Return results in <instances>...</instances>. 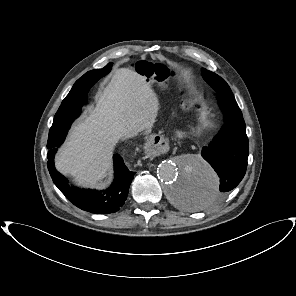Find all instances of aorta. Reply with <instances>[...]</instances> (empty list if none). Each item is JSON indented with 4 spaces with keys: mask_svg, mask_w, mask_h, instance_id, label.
I'll return each mask as SVG.
<instances>
[{
    "mask_svg": "<svg viewBox=\"0 0 296 296\" xmlns=\"http://www.w3.org/2000/svg\"><path fill=\"white\" fill-rule=\"evenodd\" d=\"M158 178L166 185L171 204L182 211H199L213 203L219 189V177L211 166L196 155L162 162Z\"/></svg>",
    "mask_w": 296,
    "mask_h": 296,
    "instance_id": "762f6f07",
    "label": "aorta"
}]
</instances>
